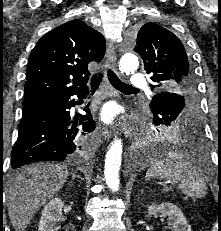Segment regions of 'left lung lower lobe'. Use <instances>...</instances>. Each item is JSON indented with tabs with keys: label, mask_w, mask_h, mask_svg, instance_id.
<instances>
[{
	"label": "left lung lower lobe",
	"mask_w": 221,
	"mask_h": 231,
	"mask_svg": "<svg viewBox=\"0 0 221 231\" xmlns=\"http://www.w3.org/2000/svg\"><path fill=\"white\" fill-rule=\"evenodd\" d=\"M160 105L167 103L175 104V99L172 93L164 92L155 95L152 99ZM186 105V104H185ZM172 107L176 108L174 105ZM161 117L155 121L156 125H166L175 120L177 116L173 113L161 112ZM165 141L173 143L185 148V151L190 152L192 155H197L203 152L202 147V127L200 120L196 116H192L190 121L179 129L171 130L166 136Z\"/></svg>",
	"instance_id": "0a47b994"
}]
</instances>
